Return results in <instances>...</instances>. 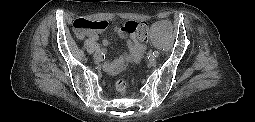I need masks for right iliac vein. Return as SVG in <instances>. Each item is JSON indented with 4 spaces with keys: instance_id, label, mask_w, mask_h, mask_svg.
Masks as SVG:
<instances>
[{
    "instance_id": "obj_1",
    "label": "right iliac vein",
    "mask_w": 255,
    "mask_h": 122,
    "mask_svg": "<svg viewBox=\"0 0 255 122\" xmlns=\"http://www.w3.org/2000/svg\"><path fill=\"white\" fill-rule=\"evenodd\" d=\"M94 61H95L96 63H99V62L101 61V55H100V54L94 55Z\"/></svg>"
}]
</instances>
